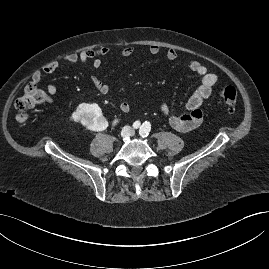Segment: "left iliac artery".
<instances>
[{"label":"left iliac artery","mask_w":269,"mask_h":269,"mask_svg":"<svg viewBox=\"0 0 269 269\" xmlns=\"http://www.w3.org/2000/svg\"><path fill=\"white\" fill-rule=\"evenodd\" d=\"M151 130V125L149 122L145 121L143 123V125L140 127V130H139V134L142 136V137H146L148 136L149 132Z\"/></svg>","instance_id":"left-iliac-artery-1"}]
</instances>
